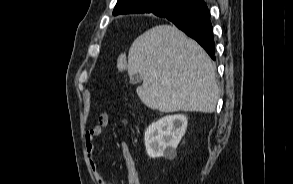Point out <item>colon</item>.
I'll return each mask as SVG.
<instances>
[{"mask_svg": "<svg viewBox=\"0 0 293 184\" xmlns=\"http://www.w3.org/2000/svg\"><path fill=\"white\" fill-rule=\"evenodd\" d=\"M117 67L122 72L127 69V58L123 53H120L117 57Z\"/></svg>", "mask_w": 293, "mask_h": 184, "instance_id": "colon-1", "label": "colon"}]
</instances>
